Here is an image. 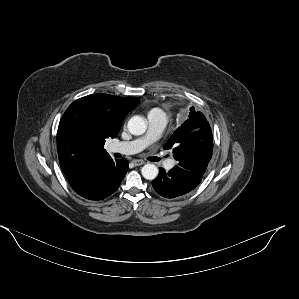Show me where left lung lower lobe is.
Instances as JSON below:
<instances>
[{
  "label": "left lung lower lobe",
  "instance_id": "obj_1",
  "mask_svg": "<svg viewBox=\"0 0 299 299\" xmlns=\"http://www.w3.org/2000/svg\"><path fill=\"white\" fill-rule=\"evenodd\" d=\"M203 175L177 165L168 173L160 168L159 175L152 181L154 190L165 198H176L192 191L202 181Z\"/></svg>",
  "mask_w": 299,
  "mask_h": 299
}]
</instances>
